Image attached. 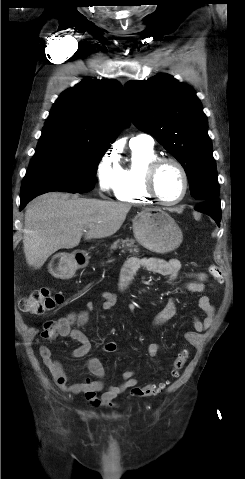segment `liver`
Returning a JSON list of instances; mask_svg holds the SVG:
<instances>
[{"label": "liver", "instance_id": "6515ba94", "mask_svg": "<svg viewBox=\"0 0 245 479\" xmlns=\"http://www.w3.org/2000/svg\"><path fill=\"white\" fill-rule=\"evenodd\" d=\"M131 205L48 193L27 207L23 246L29 266L39 269L59 249L79 245L85 239H100L115 234L126 219Z\"/></svg>", "mask_w": 245, "mask_h": 479}]
</instances>
